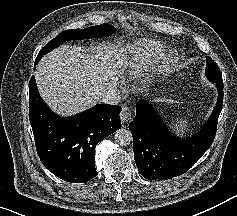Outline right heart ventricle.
<instances>
[{"instance_id": "1", "label": "right heart ventricle", "mask_w": 237, "mask_h": 216, "mask_svg": "<svg viewBox=\"0 0 237 216\" xmlns=\"http://www.w3.org/2000/svg\"><path fill=\"white\" fill-rule=\"evenodd\" d=\"M169 45L159 39L139 38L114 53L113 80L121 86L136 87Z\"/></svg>"}]
</instances>
